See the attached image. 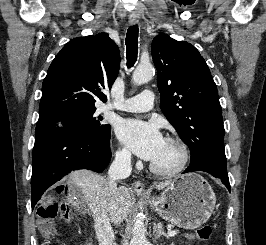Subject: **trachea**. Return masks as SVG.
I'll return each instance as SVG.
<instances>
[{
    "mask_svg": "<svg viewBox=\"0 0 266 245\" xmlns=\"http://www.w3.org/2000/svg\"><path fill=\"white\" fill-rule=\"evenodd\" d=\"M127 66L132 67L137 60L138 54V26L128 28L126 34Z\"/></svg>",
    "mask_w": 266,
    "mask_h": 245,
    "instance_id": "3493384b",
    "label": "trachea"
}]
</instances>
